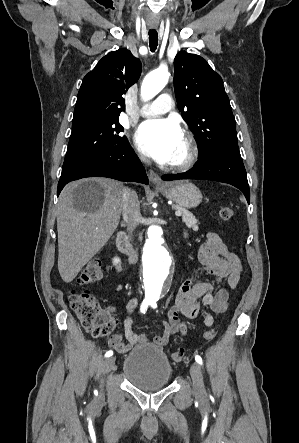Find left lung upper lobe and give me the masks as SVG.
I'll use <instances>...</instances> for the list:
<instances>
[{
	"label": "left lung upper lobe",
	"mask_w": 299,
	"mask_h": 443,
	"mask_svg": "<svg viewBox=\"0 0 299 443\" xmlns=\"http://www.w3.org/2000/svg\"><path fill=\"white\" fill-rule=\"evenodd\" d=\"M178 108L198 141V159L213 153L241 156L236 122L222 78L207 61L179 52L174 60Z\"/></svg>",
	"instance_id": "1"
}]
</instances>
